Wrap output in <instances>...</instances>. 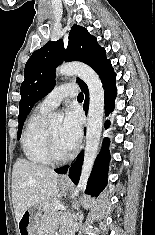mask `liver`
<instances>
[{"instance_id":"obj_1","label":"liver","mask_w":155,"mask_h":235,"mask_svg":"<svg viewBox=\"0 0 155 235\" xmlns=\"http://www.w3.org/2000/svg\"><path fill=\"white\" fill-rule=\"evenodd\" d=\"M58 174L53 170L18 159L12 171V201L16 221L19 222L26 209L43 205L59 193Z\"/></svg>"}]
</instances>
